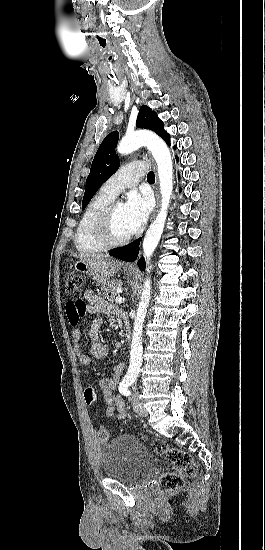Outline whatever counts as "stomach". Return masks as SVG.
Listing matches in <instances>:
<instances>
[{"label": "stomach", "mask_w": 265, "mask_h": 550, "mask_svg": "<svg viewBox=\"0 0 265 550\" xmlns=\"http://www.w3.org/2000/svg\"><path fill=\"white\" fill-rule=\"evenodd\" d=\"M73 268H74V270H76L80 273H84V274L92 276L99 285L103 286L106 283V277H103L101 274H99L97 271H95L89 264L83 262L80 259L74 262ZM126 274L128 276H132L134 274V272L130 271V270H126Z\"/></svg>", "instance_id": "obj_1"}]
</instances>
